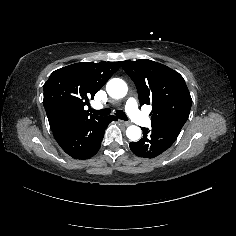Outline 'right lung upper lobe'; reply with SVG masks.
I'll return each instance as SVG.
<instances>
[{
    "label": "right lung upper lobe",
    "instance_id": "obj_1",
    "mask_svg": "<svg viewBox=\"0 0 236 236\" xmlns=\"http://www.w3.org/2000/svg\"><path fill=\"white\" fill-rule=\"evenodd\" d=\"M120 64L84 62L54 71L43 87V104L51 129L97 117L84 106L120 68Z\"/></svg>",
    "mask_w": 236,
    "mask_h": 236
}]
</instances>
